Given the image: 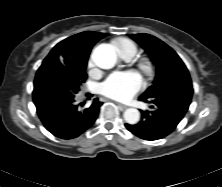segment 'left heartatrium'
<instances>
[{
  "mask_svg": "<svg viewBox=\"0 0 222 187\" xmlns=\"http://www.w3.org/2000/svg\"><path fill=\"white\" fill-rule=\"evenodd\" d=\"M143 87V79L136 71H121L110 74L100 85V91L107 97L128 101Z\"/></svg>",
  "mask_w": 222,
  "mask_h": 187,
  "instance_id": "obj_1",
  "label": "left heart atrium"
}]
</instances>
